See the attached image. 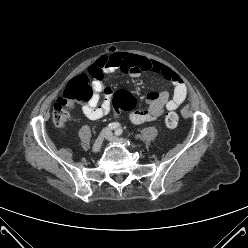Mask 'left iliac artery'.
I'll list each match as a JSON object with an SVG mask.
<instances>
[{
	"label": "left iliac artery",
	"instance_id": "1",
	"mask_svg": "<svg viewBox=\"0 0 248 248\" xmlns=\"http://www.w3.org/2000/svg\"><path fill=\"white\" fill-rule=\"evenodd\" d=\"M122 132H123L122 129L119 128V129H117V130L115 131V135L119 136V135L122 134Z\"/></svg>",
	"mask_w": 248,
	"mask_h": 248
}]
</instances>
